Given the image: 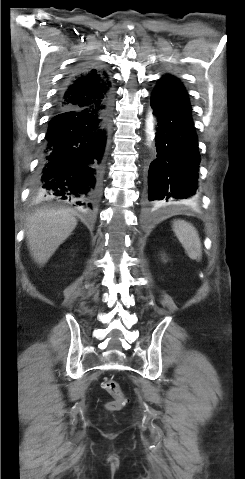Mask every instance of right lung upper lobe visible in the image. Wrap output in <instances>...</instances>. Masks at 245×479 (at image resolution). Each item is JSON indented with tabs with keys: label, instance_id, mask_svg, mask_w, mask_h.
I'll use <instances>...</instances> for the list:
<instances>
[{
	"label": "right lung upper lobe",
	"instance_id": "1",
	"mask_svg": "<svg viewBox=\"0 0 245 479\" xmlns=\"http://www.w3.org/2000/svg\"><path fill=\"white\" fill-rule=\"evenodd\" d=\"M111 97V83L104 70L88 68L75 74L58 97L56 109L69 106L85 108Z\"/></svg>",
	"mask_w": 245,
	"mask_h": 479
}]
</instances>
